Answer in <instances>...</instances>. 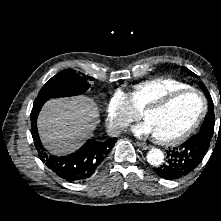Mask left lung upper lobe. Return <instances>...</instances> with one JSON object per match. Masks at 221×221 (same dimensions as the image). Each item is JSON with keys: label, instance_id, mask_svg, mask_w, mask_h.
<instances>
[{"label": "left lung upper lobe", "instance_id": "5c2ea615", "mask_svg": "<svg viewBox=\"0 0 221 221\" xmlns=\"http://www.w3.org/2000/svg\"><path fill=\"white\" fill-rule=\"evenodd\" d=\"M183 69L191 76H196V74H194L192 71H190L186 67H183ZM199 84H200V87L202 88L206 98L208 99V113L204 119V122H203L198 134H203V135L207 136L208 143L210 144V140L213 136L214 125H215L214 105H213L212 98H211L207 88L205 87V85L202 82H200Z\"/></svg>", "mask_w": 221, "mask_h": 221}]
</instances>
